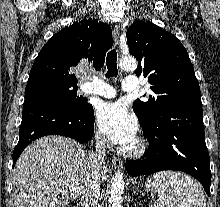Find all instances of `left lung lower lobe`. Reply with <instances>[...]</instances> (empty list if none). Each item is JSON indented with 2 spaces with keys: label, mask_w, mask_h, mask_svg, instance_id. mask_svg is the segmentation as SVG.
Listing matches in <instances>:
<instances>
[{
  "label": "left lung lower lobe",
  "mask_w": 220,
  "mask_h": 207,
  "mask_svg": "<svg viewBox=\"0 0 220 207\" xmlns=\"http://www.w3.org/2000/svg\"><path fill=\"white\" fill-rule=\"evenodd\" d=\"M143 135L149 141V149L141 159L126 162L130 176L178 170L196 178L210 196V158L201 102L177 105L143 130Z\"/></svg>",
  "instance_id": "obj_1"
}]
</instances>
